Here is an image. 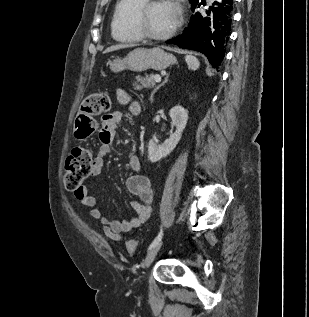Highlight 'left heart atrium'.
<instances>
[{
  "label": "left heart atrium",
  "mask_w": 309,
  "mask_h": 317,
  "mask_svg": "<svg viewBox=\"0 0 309 317\" xmlns=\"http://www.w3.org/2000/svg\"><path fill=\"white\" fill-rule=\"evenodd\" d=\"M170 6L172 7L174 13L176 14V16L178 17L179 15V7L175 2H169Z\"/></svg>",
  "instance_id": "39dd6f15"
}]
</instances>
